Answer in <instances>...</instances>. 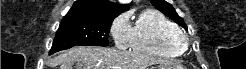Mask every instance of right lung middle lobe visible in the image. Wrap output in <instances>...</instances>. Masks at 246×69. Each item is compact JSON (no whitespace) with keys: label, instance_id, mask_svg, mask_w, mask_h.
I'll list each match as a JSON object with an SVG mask.
<instances>
[{"label":"right lung middle lobe","instance_id":"obj_1","mask_svg":"<svg viewBox=\"0 0 246 69\" xmlns=\"http://www.w3.org/2000/svg\"><path fill=\"white\" fill-rule=\"evenodd\" d=\"M112 20H62L49 54L73 46H108Z\"/></svg>","mask_w":246,"mask_h":69}]
</instances>
